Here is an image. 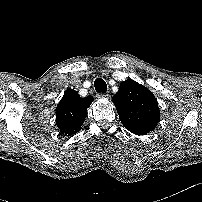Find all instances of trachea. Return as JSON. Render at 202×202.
Returning <instances> with one entry per match:
<instances>
[{
  "instance_id": "trachea-1",
  "label": "trachea",
  "mask_w": 202,
  "mask_h": 202,
  "mask_svg": "<svg viewBox=\"0 0 202 202\" xmlns=\"http://www.w3.org/2000/svg\"><path fill=\"white\" fill-rule=\"evenodd\" d=\"M95 90L98 93H106L107 85L102 78H97L94 82Z\"/></svg>"
}]
</instances>
